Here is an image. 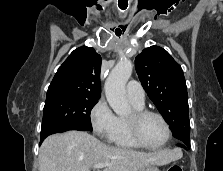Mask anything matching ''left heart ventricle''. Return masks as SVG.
<instances>
[{
	"mask_svg": "<svg viewBox=\"0 0 223 171\" xmlns=\"http://www.w3.org/2000/svg\"><path fill=\"white\" fill-rule=\"evenodd\" d=\"M132 113L127 117H131ZM139 135L144 143L150 146L160 145L166 137V129L162 121L153 115L144 117L138 126Z\"/></svg>",
	"mask_w": 223,
	"mask_h": 171,
	"instance_id": "1",
	"label": "left heart ventricle"
}]
</instances>
